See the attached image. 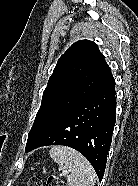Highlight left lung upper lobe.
I'll return each mask as SVG.
<instances>
[{"label": "left lung upper lobe", "instance_id": "5c2ea615", "mask_svg": "<svg viewBox=\"0 0 138 186\" xmlns=\"http://www.w3.org/2000/svg\"><path fill=\"white\" fill-rule=\"evenodd\" d=\"M110 74L111 69L94 42L80 40L72 44L49 78L26 146L37 141Z\"/></svg>", "mask_w": 138, "mask_h": 186}]
</instances>
